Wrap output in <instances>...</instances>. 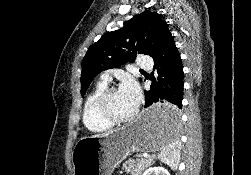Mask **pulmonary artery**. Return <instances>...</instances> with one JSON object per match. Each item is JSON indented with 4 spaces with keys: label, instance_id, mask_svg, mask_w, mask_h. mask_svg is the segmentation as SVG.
Segmentation results:
<instances>
[{
    "label": "pulmonary artery",
    "instance_id": "e3ab8cb5",
    "mask_svg": "<svg viewBox=\"0 0 251 175\" xmlns=\"http://www.w3.org/2000/svg\"><path fill=\"white\" fill-rule=\"evenodd\" d=\"M136 66L141 67L142 70H153V58H150V55H144V58H140V62L136 63ZM100 80L108 83L111 81V75L108 73L102 74Z\"/></svg>",
    "mask_w": 251,
    "mask_h": 175
}]
</instances>
